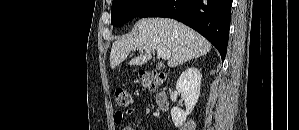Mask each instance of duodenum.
<instances>
[{
	"label": "duodenum",
	"mask_w": 299,
	"mask_h": 130,
	"mask_svg": "<svg viewBox=\"0 0 299 130\" xmlns=\"http://www.w3.org/2000/svg\"><path fill=\"white\" fill-rule=\"evenodd\" d=\"M155 103L160 111H166L168 109V96L165 91H159L155 96Z\"/></svg>",
	"instance_id": "duodenum-1"
}]
</instances>
